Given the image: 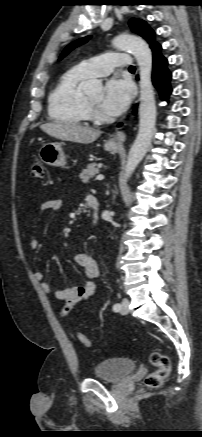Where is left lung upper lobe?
Wrapping results in <instances>:
<instances>
[{"label": "left lung upper lobe", "instance_id": "5c2ea615", "mask_svg": "<svg viewBox=\"0 0 202 437\" xmlns=\"http://www.w3.org/2000/svg\"><path fill=\"white\" fill-rule=\"evenodd\" d=\"M129 25L133 32L139 34L142 38H144L149 43L151 49H153L155 46L158 45V43L155 41L154 31L148 26V24L145 21L139 19H131L129 21ZM89 39L90 36H87L69 44L60 55L59 60L64 58L71 50L84 44Z\"/></svg>", "mask_w": 202, "mask_h": 437}]
</instances>
